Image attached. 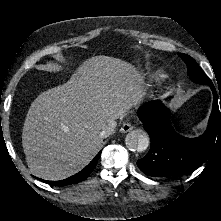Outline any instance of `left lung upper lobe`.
<instances>
[{
	"label": "left lung upper lobe",
	"instance_id": "obj_1",
	"mask_svg": "<svg viewBox=\"0 0 221 221\" xmlns=\"http://www.w3.org/2000/svg\"><path fill=\"white\" fill-rule=\"evenodd\" d=\"M178 55L186 63L188 75L193 82L206 85L212 83L192 57L183 53H179Z\"/></svg>",
	"mask_w": 221,
	"mask_h": 221
}]
</instances>
